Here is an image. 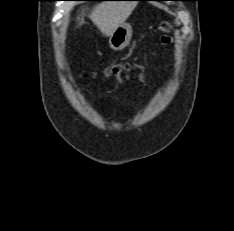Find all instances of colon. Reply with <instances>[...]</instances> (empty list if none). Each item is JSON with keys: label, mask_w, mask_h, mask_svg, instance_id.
<instances>
[{"label": "colon", "mask_w": 234, "mask_h": 231, "mask_svg": "<svg viewBox=\"0 0 234 231\" xmlns=\"http://www.w3.org/2000/svg\"><path fill=\"white\" fill-rule=\"evenodd\" d=\"M165 41H168L169 39L168 38H164ZM119 70H120V67H114L113 69H111V73L113 75H118L119 73Z\"/></svg>", "instance_id": "1"}]
</instances>
